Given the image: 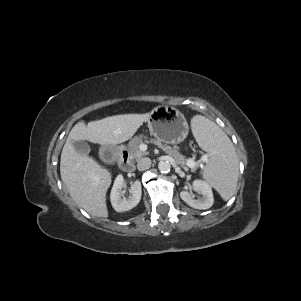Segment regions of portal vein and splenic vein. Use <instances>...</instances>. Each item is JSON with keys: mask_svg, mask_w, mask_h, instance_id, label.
<instances>
[{"mask_svg": "<svg viewBox=\"0 0 301 301\" xmlns=\"http://www.w3.org/2000/svg\"><path fill=\"white\" fill-rule=\"evenodd\" d=\"M143 146V145H142ZM208 160V156L206 154H204L202 157H201V161H207ZM187 165L191 168L195 167L197 165L196 162H194L192 159H189L187 161Z\"/></svg>", "mask_w": 301, "mask_h": 301, "instance_id": "portal-vein-and-splenic-vein-1", "label": "portal vein and splenic vein"}]
</instances>
